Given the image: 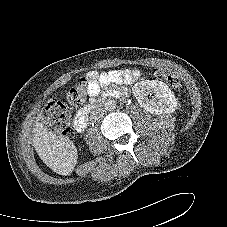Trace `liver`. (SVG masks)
<instances>
[{
	"instance_id": "obj_1",
	"label": "liver",
	"mask_w": 227,
	"mask_h": 227,
	"mask_svg": "<svg viewBox=\"0 0 227 227\" xmlns=\"http://www.w3.org/2000/svg\"><path fill=\"white\" fill-rule=\"evenodd\" d=\"M41 117L39 114L34 128V148L46 166L57 174L70 175L77 164V149L70 139L57 136L38 122Z\"/></svg>"
}]
</instances>
